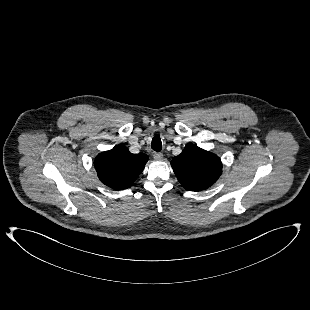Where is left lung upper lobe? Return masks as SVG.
<instances>
[{"label": "left lung upper lobe", "mask_w": 310, "mask_h": 310, "mask_svg": "<svg viewBox=\"0 0 310 310\" xmlns=\"http://www.w3.org/2000/svg\"><path fill=\"white\" fill-rule=\"evenodd\" d=\"M171 166L181 185L190 191L209 188L222 172V163L217 155L193 144L174 157Z\"/></svg>", "instance_id": "1"}]
</instances>
